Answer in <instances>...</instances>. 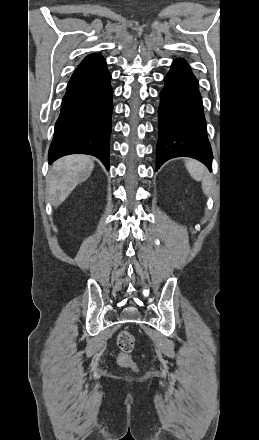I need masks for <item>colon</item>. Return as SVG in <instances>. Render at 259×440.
Instances as JSON below:
<instances>
[{
	"label": "colon",
	"instance_id": "colon-1",
	"mask_svg": "<svg viewBox=\"0 0 259 440\" xmlns=\"http://www.w3.org/2000/svg\"><path fill=\"white\" fill-rule=\"evenodd\" d=\"M120 353L117 357L118 364L122 367H134L131 352L135 346V336L128 330H121L117 337Z\"/></svg>",
	"mask_w": 259,
	"mask_h": 440
}]
</instances>
